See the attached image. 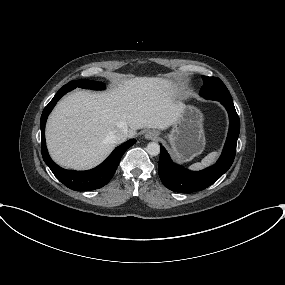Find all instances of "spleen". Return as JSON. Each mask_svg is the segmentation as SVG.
Listing matches in <instances>:
<instances>
[{
    "instance_id": "obj_1",
    "label": "spleen",
    "mask_w": 285,
    "mask_h": 285,
    "mask_svg": "<svg viewBox=\"0 0 285 285\" xmlns=\"http://www.w3.org/2000/svg\"><path fill=\"white\" fill-rule=\"evenodd\" d=\"M218 156V152H211L209 153L205 158L202 159L201 162L194 163L190 166V169L192 170H200L204 167H207L214 163Z\"/></svg>"
}]
</instances>
